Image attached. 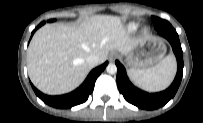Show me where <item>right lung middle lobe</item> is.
<instances>
[{
  "instance_id": "1",
  "label": "right lung middle lobe",
  "mask_w": 203,
  "mask_h": 123,
  "mask_svg": "<svg viewBox=\"0 0 203 123\" xmlns=\"http://www.w3.org/2000/svg\"><path fill=\"white\" fill-rule=\"evenodd\" d=\"M52 21H54V20H50V22H52ZM45 22H42V24H44Z\"/></svg>"
}]
</instances>
